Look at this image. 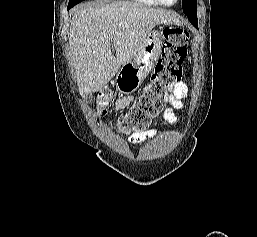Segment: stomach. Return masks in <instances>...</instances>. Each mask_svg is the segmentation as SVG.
<instances>
[{
    "instance_id": "1",
    "label": "stomach",
    "mask_w": 257,
    "mask_h": 237,
    "mask_svg": "<svg viewBox=\"0 0 257 237\" xmlns=\"http://www.w3.org/2000/svg\"><path fill=\"white\" fill-rule=\"evenodd\" d=\"M162 40V33L152 30L143 41L134 61L122 65L116 78V86L121 93L130 94L139 88L159 58Z\"/></svg>"
}]
</instances>
